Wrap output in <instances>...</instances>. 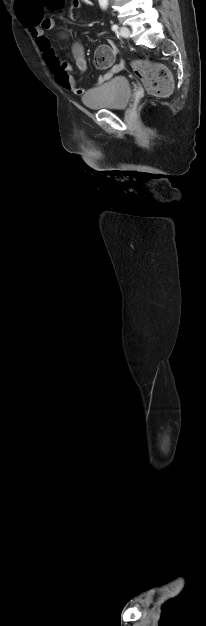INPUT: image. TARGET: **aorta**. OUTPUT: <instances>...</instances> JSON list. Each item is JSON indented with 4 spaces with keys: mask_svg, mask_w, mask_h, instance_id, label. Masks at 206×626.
<instances>
[{
    "mask_svg": "<svg viewBox=\"0 0 206 626\" xmlns=\"http://www.w3.org/2000/svg\"><path fill=\"white\" fill-rule=\"evenodd\" d=\"M99 4L101 7L105 8L108 4V0H99Z\"/></svg>",
    "mask_w": 206,
    "mask_h": 626,
    "instance_id": "1",
    "label": "aorta"
}]
</instances>
